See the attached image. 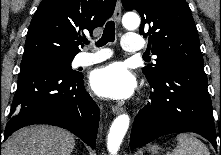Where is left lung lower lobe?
<instances>
[{
    "instance_id": "0a47b994",
    "label": "left lung lower lobe",
    "mask_w": 221,
    "mask_h": 155,
    "mask_svg": "<svg viewBox=\"0 0 221 155\" xmlns=\"http://www.w3.org/2000/svg\"><path fill=\"white\" fill-rule=\"evenodd\" d=\"M149 84L153 88L151 101L135 117L131 149L174 132L198 133L217 149L212 103L203 66L176 65Z\"/></svg>"
}]
</instances>
